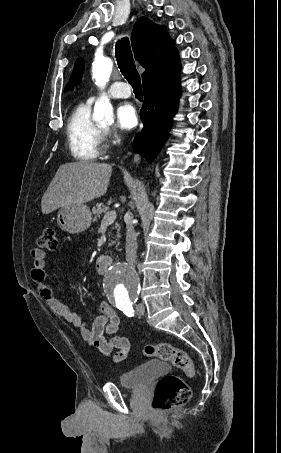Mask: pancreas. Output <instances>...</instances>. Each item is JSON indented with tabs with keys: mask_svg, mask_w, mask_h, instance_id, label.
Wrapping results in <instances>:
<instances>
[{
	"mask_svg": "<svg viewBox=\"0 0 281 453\" xmlns=\"http://www.w3.org/2000/svg\"><path fill=\"white\" fill-rule=\"evenodd\" d=\"M109 210V206H106V204H103V202H96V206H93L92 208V212L93 214H95V218H100L102 212H108ZM115 229H117V237H116V241H118V239H120L121 235L119 233L120 231V227H118V224H116V227ZM110 245H113V241H111V243H109V247Z\"/></svg>",
	"mask_w": 281,
	"mask_h": 453,
	"instance_id": "cf45deb5",
	"label": "pancreas"
}]
</instances>
